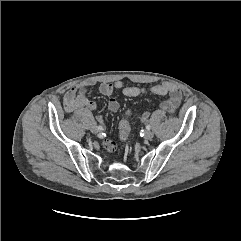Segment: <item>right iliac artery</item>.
<instances>
[{
	"instance_id": "82829eb1",
	"label": "right iliac artery",
	"mask_w": 241,
	"mask_h": 241,
	"mask_svg": "<svg viewBox=\"0 0 241 241\" xmlns=\"http://www.w3.org/2000/svg\"><path fill=\"white\" fill-rule=\"evenodd\" d=\"M98 129L101 131V130H103V127L101 125H99Z\"/></svg>"
}]
</instances>
